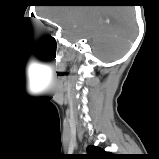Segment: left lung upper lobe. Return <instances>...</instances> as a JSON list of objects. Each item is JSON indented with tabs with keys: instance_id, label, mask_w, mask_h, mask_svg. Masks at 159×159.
I'll return each mask as SVG.
<instances>
[{
	"instance_id": "1",
	"label": "left lung upper lobe",
	"mask_w": 159,
	"mask_h": 159,
	"mask_svg": "<svg viewBox=\"0 0 159 159\" xmlns=\"http://www.w3.org/2000/svg\"><path fill=\"white\" fill-rule=\"evenodd\" d=\"M118 156L110 152H106L99 147L89 146L87 154L83 155L81 159H117Z\"/></svg>"
}]
</instances>
